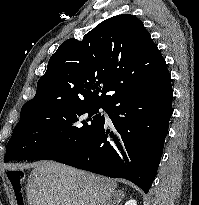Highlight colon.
<instances>
[{
  "instance_id": "5ec220e1",
  "label": "colon",
  "mask_w": 199,
  "mask_h": 205,
  "mask_svg": "<svg viewBox=\"0 0 199 205\" xmlns=\"http://www.w3.org/2000/svg\"><path fill=\"white\" fill-rule=\"evenodd\" d=\"M8 178L14 193L20 195L22 193V184L25 178L24 173L22 171H12L8 174Z\"/></svg>"
}]
</instances>
